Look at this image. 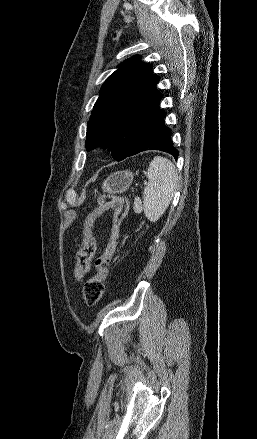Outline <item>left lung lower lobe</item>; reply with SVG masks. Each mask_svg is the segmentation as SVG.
Segmentation results:
<instances>
[{
    "mask_svg": "<svg viewBox=\"0 0 257 439\" xmlns=\"http://www.w3.org/2000/svg\"><path fill=\"white\" fill-rule=\"evenodd\" d=\"M158 105L149 114L144 122L135 146L127 155L133 156L146 150H160L167 152L178 158V150H176L171 141V129L165 126V112L158 108Z\"/></svg>",
    "mask_w": 257,
    "mask_h": 439,
    "instance_id": "1",
    "label": "left lung lower lobe"
}]
</instances>
